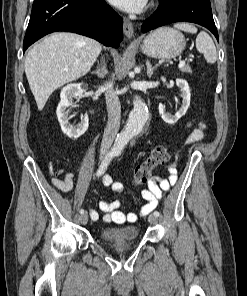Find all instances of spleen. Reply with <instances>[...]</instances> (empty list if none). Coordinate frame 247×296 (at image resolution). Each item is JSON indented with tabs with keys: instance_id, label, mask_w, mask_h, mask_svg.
I'll return each mask as SVG.
<instances>
[{
	"instance_id": "obj_1",
	"label": "spleen",
	"mask_w": 247,
	"mask_h": 296,
	"mask_svg": "<svg viewBox=\"0 0 247 296\" xmlns=\"http://www.w3.org/2000/svg\"><path fill=\"white\" fill-rule=\"evenodd\" d=\"M174 27L187 33H197V28L194 25L188 23H177L174 25ZM196 48L204 55V58L208 63L213 64L216 62V47L212 38L206 32L201 31L197 35Z\"/></svg>"
}]
</instances>
